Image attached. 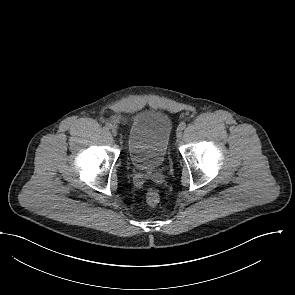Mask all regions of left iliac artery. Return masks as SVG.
<instances>
[{
	"label": "left iliac artery",
	"instance_id": "obj_1",
	"mask_svg": "<svg viewBox=\"0 0 295 295\" xmlns=\"http://www.w3.org/2000/svg\"><path fill=\"white\" fill-rule=\"evenodd\" d=\"M185 127H186V123L181 122V123L179 124V127H178V128H180L181 130H183V129H185Z\"/></svg>",
	"mask_w": 295,
	"mask_h": 295
}]
</instances>
